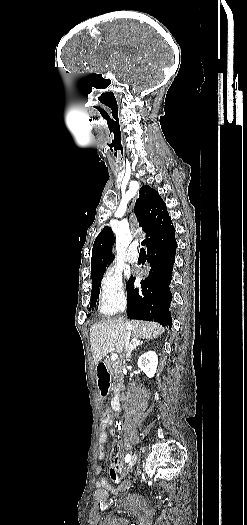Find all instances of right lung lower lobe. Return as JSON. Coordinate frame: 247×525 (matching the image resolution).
Masks as SVG:
<instances>
[{
  "label": "right lung lower lobe",
  "mask_w": 247,
  "mask_h": 525,
  "mask_svg": "<svg viewBox=\"0 0 247 525\" xmlns=\"http://www.w3.org/2000/svg\"><path fill=\"white\" fill-rule=\"evenodd\" d=\"M150 273L142 288L134 289L135 278L127 283V313L130 319H145L172 326L170 302L172 294L169 284L175 262L177 243L175 228L169 225L146 242Z\"/></svg>",
  "instance_id": "right-lung-lower-lobe-1"
}]
</instances>
